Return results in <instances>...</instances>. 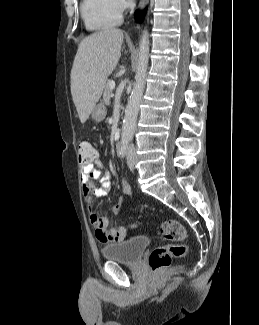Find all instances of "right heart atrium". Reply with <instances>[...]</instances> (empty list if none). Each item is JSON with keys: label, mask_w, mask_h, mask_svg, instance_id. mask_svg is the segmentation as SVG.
<instances>
[{"label": "right heart atrium", "mask_w": 259, "mask_h": 325, "mask_svg": "<svg viewBox=\"0 0 259 325\" xmlns=\"http://www.w3.org/2000/svg\"><path fill=\"white\" fill-rule=\"evenodd\" d=\"M112 1H113L115 9L118 12L122 13L124 11V9L126 8L125 0H112Z\"/></svg>", "instance_id": "1"}]
</instances>
